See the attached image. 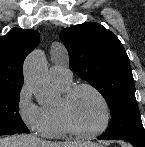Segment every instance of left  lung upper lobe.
<instances>
[{
    "mask_svg": "<svg viewBox=\"0 0 145 147\" xmlns=\"http://www.w3.org/2000/svg\"><path fill=\"white\" fill-rule=\"evenodd\" d=\"M60 38L69 53V68L108 103L112 118L103 136L144 142L130 61L119 39L94 22L65 28Z\"/></svg>",
    "mask_w": 145,
    "mask_h": 147,
    "instance_id": "obj_1",
    "label": "left lung upper lobe"
}]
</instances>
